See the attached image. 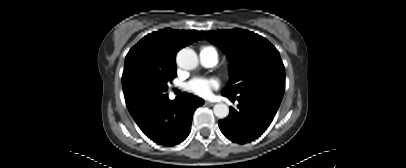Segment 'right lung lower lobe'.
Wrapping results in <instances>:
<instances>
[{"label":"right lung lower lobe","mask_w":406,"mask_h":168,"mask_svg":"<svg viewBox=\"0 0 406 168\" xmlns=\"http://www.w3.org/2000/svg\"><path fill=\"white\" fill-rule=\"evenodd\" d=\"M204 103L201 98L184 93L181 102L162 101L130 112L139 128L154 142L172 146L187 138L193 113Z\"/></svg>","instance_id":"right-lung-lower-lobe-1"}]
</instances>
